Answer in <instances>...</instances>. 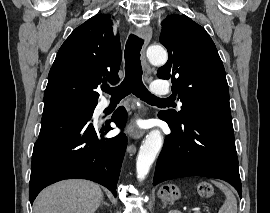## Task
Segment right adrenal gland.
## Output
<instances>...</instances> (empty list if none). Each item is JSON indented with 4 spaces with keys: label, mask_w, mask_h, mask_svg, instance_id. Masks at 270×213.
<instances>
[{
    "label": "right adrenal gland",
    "mask_w": 270,
    "mask_h": 213,
    "mask_svg": "<svg viewBox=\"0 0 270 213\" xmlns=\"http://www.w3.org/2000/svg\"><path fill=\"white\" fill-rule=\"evenodd\" d=\"M101 205H106V206H108V207H109V204H108V203H106V202H104V201H102Z\"/></svg>",
    "instance_id": "2a0ac1e0"
}]
</instances>
